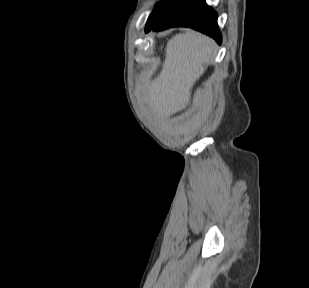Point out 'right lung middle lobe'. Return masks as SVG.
<instances>
[{
  "instance_id": "right-lung-middle-lobe-1",
  "label": "right lung middle lobe",
  "mask_w": 309,
  "mask_h": 288,
  "mask_svg": "<svg viewBox=\"0 0 309 288\" xmlns=\"http://www.w3.org/2000/svg\"><path fill=\"white\" fill-rule=\"evenodd\" d=\"M182 2L183 0H163L162 2H160L157 5L156 9L150 14L146 27L156 23L166 13L181 5Z\"/></svg>"
}]
</instances>
